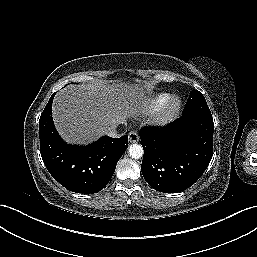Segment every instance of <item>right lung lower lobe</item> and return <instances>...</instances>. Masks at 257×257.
I'll use <instances>...</instances> for the list:
<instances>
[{
	"label": "right lung lower lobe",
	"mask_w": 257,
	"mask_h": 257,
	"mask_svg": "<svg viewBox=\"0 0 257 257\" xmlns=\"http://www.w3.org/2000/svg\"><path fill=\"white\" fill-rule=\"evenodd\" d=\"M53 93L39 120L40 153L52 177L76 193L102 190L114 174L116 164L128 147V136L101 137L86 145H68L59 137L52 119Z\"/></svg>",
	"instance_id": "98d812e1"
}]
</instances>
